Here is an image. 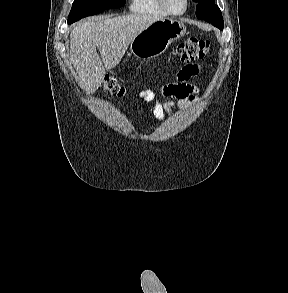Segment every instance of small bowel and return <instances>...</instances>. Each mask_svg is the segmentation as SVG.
<instances>
[{
  "label": "small bowel",
  "mask_w": 288,
  "mask_h": 293,
  "mask_svg": "<svg viewBox=\"0 0 288 293\" xmlns=\"http://www.w3.org/2000/svg\"><path fill=\"white\" fill-rule=\"evenodd\" d=\"M199 66L196 64H188L184 66L177 74V81L165 85L161 89V93L165 97L175 98L178 100V107L185 111L196 101L195 88L188 83L189 79L199 73ZM140 98L146 102H155L153 106V115L158 122H163L166 115L171 114L174 102L171 100L164 103L155 101V94L151 90H144L139 94Z\"/></svg>",
  "instance_id": "1"
}]
</instances>
